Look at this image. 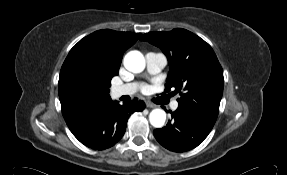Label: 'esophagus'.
<instances>
[{
	"mask_svg": "<svg viewBox=\"0 0 287 175\" xmlns=\"http://www.w3.org/2000/svg\"><path fill=\"white\" fill-rule=\"evenodd\" d=\"M146 106L148 108H155L156 107V105L154 103H152L151 101H146Z\"/></svg>",
	"mask_w": 287,
	"mask_h": 175,
	"instance_id": "esophagus-1",
	"label": "esophagus"
}]
</instances>
